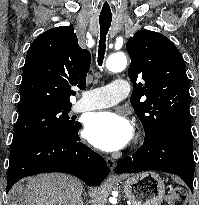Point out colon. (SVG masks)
Listing matches in <instances>:
<instances>
[{"instance_id": "obj_1", "label": "colon", "mask_w": 199, "mask_h": 205, "mask_svg": "<svg viewBox=\"0 0 199 205\" xmlns=\"http://www.w3.org/2000/svg\"><path fill=\"white\" fill-rule=\"evenodd\" d=\"M186 199V193L183 189L177 188L169 196H166L160 205H180Z\"/></svg>"}]
</instances>
